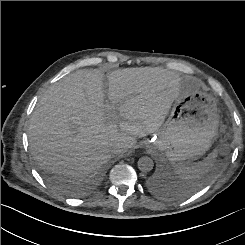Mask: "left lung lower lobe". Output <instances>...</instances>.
<instances>
[{"mask_svg":"<svg viewBox=\"0 0 245 245\" xmlns=\"http://www.w3.org/2000/svg\"><path fill=\"white\" fill-rule=\"evenodd\" d=\"M148 187L152 191H156L159 196L167 199L182 198L187 193V188L184 184L174 183L172 179L167 178L163 174H158L149 180Z\"/></svg>","mask_w":245,"mask_h":245,"instance_id":"0a47b994","label":"left lung lower lobe"}]
</instances>
